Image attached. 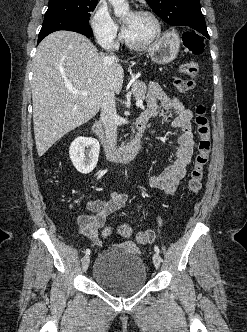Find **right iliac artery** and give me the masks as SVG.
<instances>
[{
    "label": "right iliac artery",
    "instance_id": "obj_1",
    "mask_svg": "<svg viewBox=\"0 0 247 332\" xmlns=\"http://www.w3.org/2000/svg\"><path fill=\"white\" fill-rule=\"evenodd\" d=\"M85 253H86V255L90 254V249H87V250L85 251Z\"/></svg>",
    "mask_w": 247,
    "mask_h": 332
}]
</instances>
